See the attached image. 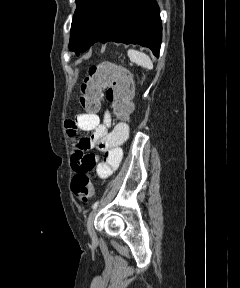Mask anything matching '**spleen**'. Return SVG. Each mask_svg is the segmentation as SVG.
I'll list each match as a JSON object with an SVG mask.
<instances>
[{
  "label": "spleen",
  "instance_id": "spleen-1",
  "mask_svg": "<svg viewBox=\"0 0 240 288\" xmlns=\"http://www.w3.org/2000/svg\"><path fill=\"white\" fill-rule=\"evenodd\" d=\"M128 57L134 63L139 66H142L148 70L153 69V62L151 61L150 57L143 52L137 50H128Z\"/></svg>",
  "mask_w": 240,
  "mask_h": 288
}]
</instances>
